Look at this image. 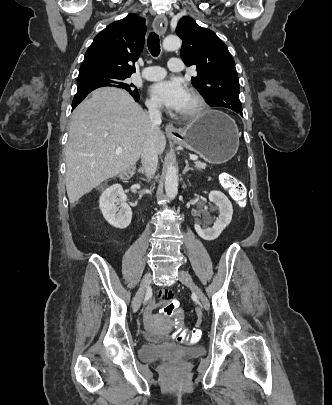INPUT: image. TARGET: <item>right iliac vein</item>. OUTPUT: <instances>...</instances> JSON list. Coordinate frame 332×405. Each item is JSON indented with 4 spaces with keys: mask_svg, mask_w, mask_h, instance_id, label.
Here are the masks:
<instances>
[{
    "mask_svg": "<svg viewBox=\"0 0 332 405\" xmlns=\"http://www.w3.org/2000/svg\"><path fill=\"white\" fill-rule=\"evenodd\" d=\"M151 278H152L151 272L147 273L143 277L142 282L140 284V287H139V289H138V291H137V293H136V295H135V297L133 299V303H132L133 311H138V309L140 308L141 302H142L143 297H144V294H145V292H146V290H147V288H148V286H149V284L151 282Z\"/></svg>",
    "mask_w": 332,
    "mask_h": 405,
    "instance_id": "obj_1",
    "label": "right iliac vein"
}]
</instances>
